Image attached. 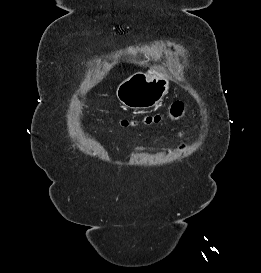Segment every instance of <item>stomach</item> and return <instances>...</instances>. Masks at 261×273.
Here are the masks:
<instances>
[{
    "label": "stomach",
    "mask_w": 261,
    "mask_h": 273,
    "mask_svg": "<svg viewBox=\"0 0 261 273\" xmlns=\"http://www.w3.org/2000/svg\"><path fill=\"white\" fill-rule=\"evenodd\" d=\"M169 89L168 78L156 70L136 72L121 82L116 90L119 101L131 109L156 106Z\"/></svg>",
    "instance_id": "1"
}]
</instances>
